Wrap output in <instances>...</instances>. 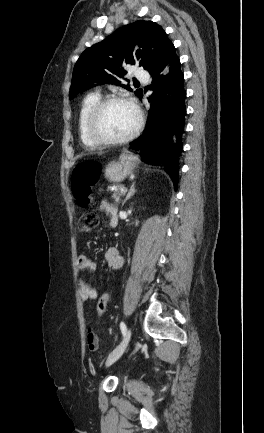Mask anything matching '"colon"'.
Returning a JSON list of instances; mask_svg holds the SVG:
<instances>
[{"instance_id":"obj_1","label":"colon","mask_w":264,"mask_h":433,"mask_svg":"<svg viewBox=\"0 0 264 433\" xmlns=\"http://www.w3.org/2000/svg\"><path fill=\"white\" fill-rule=\"evenodd\" d=\"M100 164L96 161H85L78 164L71 177L72 192L81 207L90 203L91 189L100 177ZM98 224V217L94 211H85L79 220V229L82 232L93 230ZM110 294L104 293L98 300L96 310L98 317H102L109 305Z\"/></svg>"}]
</instances>
